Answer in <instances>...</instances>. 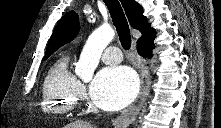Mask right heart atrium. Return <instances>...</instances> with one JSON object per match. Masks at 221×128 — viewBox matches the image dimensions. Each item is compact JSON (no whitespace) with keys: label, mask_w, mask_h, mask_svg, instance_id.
<instances>
[{"label":"right heart atrium","mask_w":221,"mask_h":128,"mask_svg":"<svg viewBox=\"0 0 221 128\" xmlns=\"http://www.w3.org/2000/svg\"><path fill=\"white\" fill-rule=\"evenodd\" d=\"M77 93L79 96H83L84 93H85V87H84V84L79 82L78 83V86H77Z\"/></svg>","instance_id":"1"}]
</instances>
